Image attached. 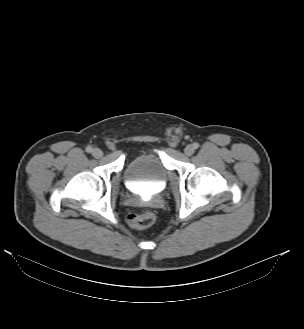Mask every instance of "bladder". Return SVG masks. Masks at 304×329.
I'll use <instances>...</instances> for the list:
<instances>
[{"instance_id":"obj_1","label":"bladder","mask_w":304,"mask_h":329,"mask_svg":"<svg viewBox=\"0 0 304 329\" xmlns=\"http://www.w3.org/2000/svg\"><path fill=\"white\" fill-rule=\"evenodd\" d=\"M123 174L129 185L149 183L162 186L167 181V170L161 157L155 152L133 156L125 164Z\"/></svg>"}]
</instances>
